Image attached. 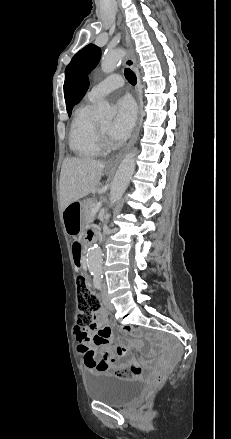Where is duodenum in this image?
I'll return each mask as SVG.
<instances>
[{
  "label": "duodenum",
  "mask_w": 231,
  "mask_h": 439,
  "mask_svg": "<svg viewBox=\"0 0 231 439\" xmlns=\"http://www.w3.org/2000/svg\"><path fill=\"white\" fill-rule=\"evenodd\" d=\"M93 239H94V233L92 232L89 234V241H93Z\"/></svg>",
  "instance_id": "410a0bca"
}]
</instances>
